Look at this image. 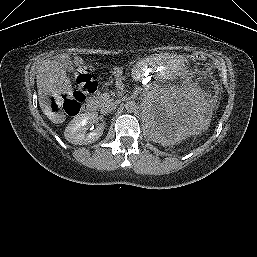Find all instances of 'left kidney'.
<instances>
[{
  "mask_svg": "<svg viewBox=\"0 0 257 257\" xmlns=\"http://www.w3.org/2000/svg\"><path fill=\"white\" fill-rule=\"evenodd\" d=\"M206 102L194 90L168 88L146 103L144 119L154 142L171 145L199 134L208 123Z\"/></svg>",
  "mask_w": 257,
  "mask_h": 257,
  "instance_id": "obj_1",
  "label": "left kidney"
}]
</instances>
